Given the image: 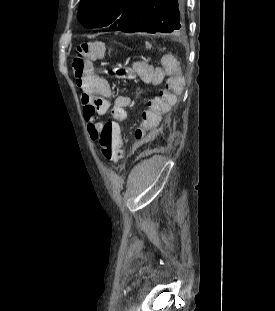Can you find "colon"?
<instances>
[{
	"instance_id": "1",
	"label": "colon",
	"mask_w": 275,
	"mask_h": 311,
	"mask_svg": "<svg viewBox=\"0 0 275 311\" xmlns=\"http://www.w3.org/2000/svg\"><path fill=\"white\" fill-rule=\"evenodd\" d=\"M104 52L105 49L103 45L98 42L88 41L78 45L77 55L73 59L72 63L75 75L81 76L89 72L90 62L102 57ZM112 73L120 77H125L127 75L125 70L121 67H115L112 70ZM110 123L111 124H106L102 127L94 138L99 143L103 158L108 162H118L122 156V143L117 132L119 125L118 123H115L114 119H111Z\"/></svg>"
}]
</instances>
